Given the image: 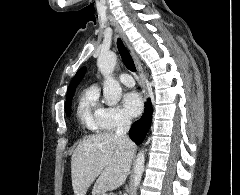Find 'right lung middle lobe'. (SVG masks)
I'll use <instances>...</instances> for the list:
<instances>
[{"label": "right lung middle lobe", "instance_id": "1", "mask_svg": "<svg viewBox=\"0 0 240 195\" xmlns=\"http://www.w3.org/2000/svg\"><path fill=\"white\" fill-rule=\"evenodd\" d=\"M70 107H71V103L66 105V115L69 116L70 115Z\"/></svg>", "mask_w": 240, "mask_h": 195}]
</instances>
